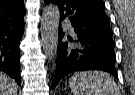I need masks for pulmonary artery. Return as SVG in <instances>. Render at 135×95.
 Wrapping results in <instances>:
<instances>
[{
    "label": "pulmonary artery",
    "mask_w": 135,
    "mask_h": 95,
    "mask_svg": "<svg viewBox=\"0 0 135 95\" xmlns=\"http://www.w3.org/2000/svg\"><path fill=\"white\" fill-rule=\"evenodd\" d=\"M65 24L68 26V29H69L70 31H72L71 25H70L68 22H65Z\"/></svg>",
    "instance_id": "1"
}]
</instances>
